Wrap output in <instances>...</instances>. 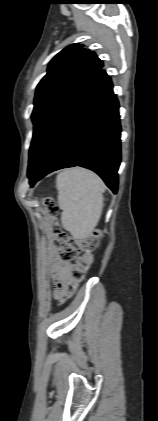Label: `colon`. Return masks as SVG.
Wrapping results in <instances>:
<instances>
[{"label": "colon", "mask_w": 158, "mask_h": 421, "mask_svg": "<svg viewBox=\"0 0 158 421\" xmlns=\"http://www.w3.org/2000/svg\"><path fill=\"white\" fill-rule=\"evenodd\" d=\"M43 203L50 221L49 234L53 244L58 248L59 258L64 262H70L76 258L75 263L70 266L65 284L66 295L71 296L76 292L93 262V253L99 245L102 233L100 230H94L82 237L68 235L61 229L58 222V207L55 200L46 197ZM81 251H84V254L77 257Z\"/></svg>", "instance_id": "colon-1"}]
</instances>
